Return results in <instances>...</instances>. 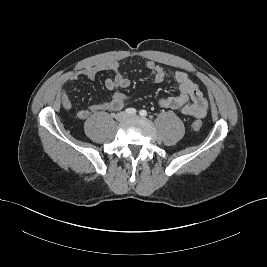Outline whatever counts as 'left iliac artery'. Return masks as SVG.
Returning a JSON list of instances; mask_svg holds the SVG:
<instances>
[{"label":"left iliac artery","instance_id":"44dca946","mask_svg":"<svg viewBox=\"0 0 267 267\" xmlns=\"http://www.w3.org/2000/svg\"><path fill=\"white\" fill-rule=\"evenodd\" d=\"M139 114H140V116L145 117L147 115V111L146 110H141L139 112Z\"/></svg>","mask_w":267,"mask_h":267}]
</instances>
